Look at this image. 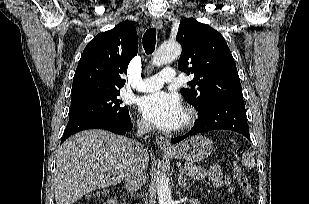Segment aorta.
I'll return each instance as SVG.
<instances>
[{"mask_svg": "<svg viewBox=\"0 0 309 204\" xmlns=\"http://www.w3.org/2000/svg\"><path fill=\"white\" fill-rule=\"evenodd\" d=\"M181 54V46L178 42H164L155 52L152 64L162 66L174 61ZM157 195L159 204H172L171 190L165 175L157 177Z\"/></svg>", "mask_w": 309, "mask_h": 204, "instance_id": "obj_1", "label": "aorta"}]
</instances>
